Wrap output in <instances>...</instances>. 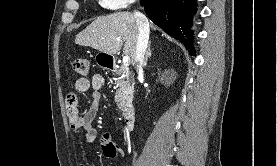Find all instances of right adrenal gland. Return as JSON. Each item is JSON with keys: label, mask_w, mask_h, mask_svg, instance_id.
I'll use <instances>...</instances> for the list:
<instances>
[{"label": "right adrenal gland", "mask_w": 277, "mask_h": 166, "mask_svg": "<svg viewBox=\"0 0 277 166\" xmlns=\"http://www.w3.org/2000/svg\"><path fill=\"white\" fill-rule=\"evenodd\" d=\"M150 45H151V43H149L148 50H147L146 56L144 58V63H143L144 66L147 65L148 58H150L152 55Z\"/></svg>", "instance_id": "1"}]
</instances>
